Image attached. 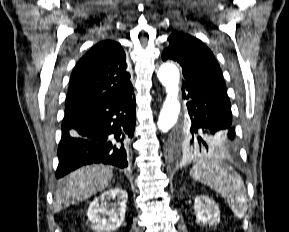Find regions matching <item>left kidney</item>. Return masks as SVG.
<instances>
[{
    "label": "left kidney",
    "mask_w": 289,
    "mask_h": 232,
    "mask_svg": "<svg viewBox=\"0 0 289 232\" xmlns=\"http://www.w3.org/2000/svg\"><path fill=\"white\" fill-rule=\"evenodd\" d=\"M196 218L203 224L216 225L220 222V210L208 196L199 195L194 201Z\"/></svg>",
    "instance_id": "obj_1"
}]
</instances>
